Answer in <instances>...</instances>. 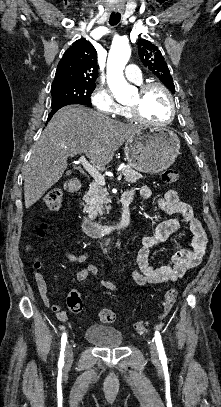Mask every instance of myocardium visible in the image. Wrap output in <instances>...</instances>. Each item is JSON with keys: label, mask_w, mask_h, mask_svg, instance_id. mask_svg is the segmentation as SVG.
Returning <instances> with one entry per match:
<instances>
[{"label": "myocardium", "mask_w": 221, "mask_h": 407, "mask_svg": "<svg viewBox=\"0 0 221 407\" xmlns=\"http://www.w3.org/2000/svg\"><path fill=\"white\" fill-rule=\"evenodd\" d=\"M154 88H158V89L162 90L165 93V95L169 101V106H170L169 117L165 121H162V122H154V121H151V120L145 118L141 111V105H140L141 99L151 89H154ZM138 94H139V100L135 104L128 105L126 107L130 116L133 119H135L136 121H139L141 123L147 124V125H158V126L169 125L174 120L175 115H176V103H175V100H174V97H173L171 91L165 85H163L159 82L146 83L139 87Z\"/></svg>", "instance_id": "obj_1"}]
</instances>
